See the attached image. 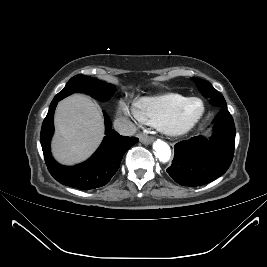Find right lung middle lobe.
Masks as SVG:
<instances>
[{"label": "right lung middle lobe", "instance_id": "1", "mask_svg": "<svg viewBox=\"0 0 267 267\" xmlns=\"http://www.w3.org/2000/svg\"><path fill=\"white\" fill-rule=\"evenodd\" d=\"M75 92L89 93L97 99L107 100L113 95L115 88L111 84L79 74L72 77L54 99L61 100Z\"/></svg>", "mask_w": 267, "mask_h": 267}]
</instances>
